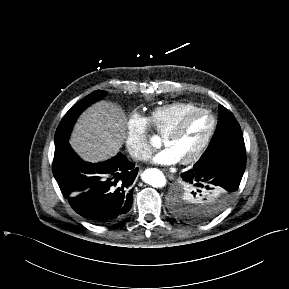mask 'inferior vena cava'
Here are the masks:
<instances>
[{"label": "inferior vena cava", "mask_w": 289, "mask_h": 289, "mask_svg": "<svg viewBox=\"0 0 289 289\" xmlns=\"http://www.w3.org/2000/svg\"><path fill=\"white\" fill-rule=\"evenodd\" d=\"M133 157L137 160H147L151 157V153L146 151H138L133 154Z\"/></svg>", "instance_id": "inferior-vena-cava-1"}]
</instances>
